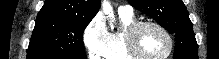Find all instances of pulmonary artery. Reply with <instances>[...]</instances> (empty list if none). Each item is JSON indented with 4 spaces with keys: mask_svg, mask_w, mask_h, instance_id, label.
I'll use <instances>...</instances> for the list:
<instances>
[{
    "mask_svg": "<svg viewBox=\"0 0 219 59\" xmlns=\"http://www.w3.org/2000/svg\"><path fill=\"white\" fill-rule=\"evenodd\" d=\"M118 13H133V8L130 5H122L118 8Z\"/></svg>",
    "mask_w": 219,
    "mask_h": 59,
    "instance_id": "1",
    "label": "pulmonary artery"
}]
</instances>
